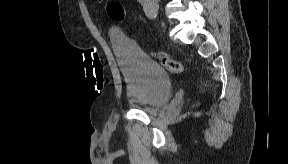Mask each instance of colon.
<instances>
[{
  "instance_id": "1",
  "label": "colon",
  "mask_w": 288,
  "mask_h": 164,
  "mask_svg": "<svg viewBox=\"0 0 288 164\" xmlns=\"http://www.w3.org/2000/svg\"><path fill=\"white\" fill-rule=\"evenodd\" d=\"M108 13L111 19L123 20L124 19V10L121 4L117 1H114L108 7ZM150 55L158 59L168 70L173 73H182L185 71V66L177 60L166 57L160 52H150Z\"/></svg>"
}]
</instances>
